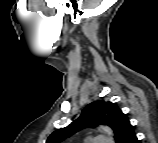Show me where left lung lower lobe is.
<instances>
[{
	"label": "left lung lower lobe",
	"instance_id": "1",
	"mask_svg": "<svg viewBox=\"0 0 158 143\" xmlns=\"http://www.w3.org/2000/svg\"><path fill=\"white\" fill-rule=\"evenodd\" d=\"M138 139L136 137V135H133L128 141L127 143H137Z\"/></svg>",
	"mask_w": 158,
	"mask_h": 143
}]
</instances>
